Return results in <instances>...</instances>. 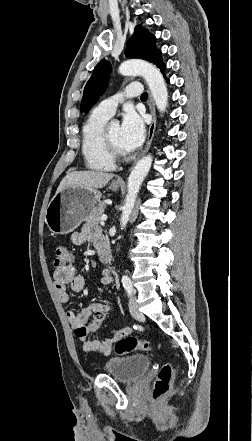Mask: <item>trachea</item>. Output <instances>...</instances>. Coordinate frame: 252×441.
<instances>
[{
  "label": "trachea",
  "instance_id": "1",
  "mask_svg": "<svg viewBox=\"0 0 252 441\" xmlns=\"http://www.w3.org/2000/svg\"><path fill=\"white\" fill-rule=\"evenodd\" d=\"M147 97H148L147 92H144V93L141 95V99H147Z\"/></svg>",
  "mask_w": 252,
  "mask_h": 441
}]
</instances>
